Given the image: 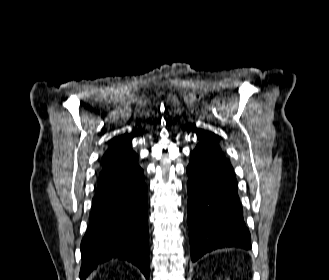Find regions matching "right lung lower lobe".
I'll return each instance as SVG.
<instances>
[{
  "mask_svg": "<svg viewBox=\"0 0 329 280\" xmlns=\"http://www.w3.org/2000/svg\"><path fill=\"white\" fill-rule=\"evenodd\" d=\"M81 254V280L110 259L132 262L149 278L147 186L137 163L100 172Z\"/></svg>",
  "mask_w": 329,
  "mask_h": 280,
  "instance_id": "98d812e1",
  "label": "right lung lower lobe"
}]
</instances>
